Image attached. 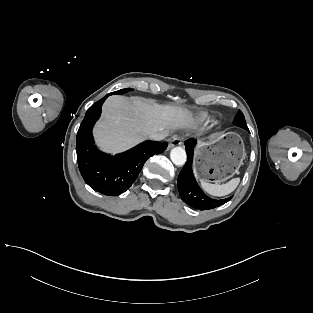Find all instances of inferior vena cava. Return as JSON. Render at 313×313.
Listing matches in <instances>:
<instances>
[{
  "label": "inferior vena cava",
  "mask_w": 313,
  "mask_h": 313,
  "mask_svg": "<svg viewBox=\"0 0 313 313\" xmlns=\"http://www.w3.org/2000/svg\"><path fill=\"white\" fill-rule=\"evenodd\" d=\"M167 136L166 133H163V132H157V133H150L148 135V137L152 140H156V141H159V140H162L164 139L165 137Z\"/></svg>",
  "instance_id": "inferior-vena-cava-1"
}]
</instances>
